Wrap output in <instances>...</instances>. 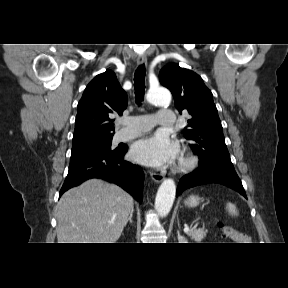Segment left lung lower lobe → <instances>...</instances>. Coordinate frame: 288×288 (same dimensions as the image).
Returning <instances> with one entry per match:
<instances>
[{"mask_svg":"<svg viewBox=\"0 0 288 288\" xmlns=\"http://www.w3.org/2000/svg\"><path fill=\"white\" fill-rule=\"evenodd\" d=\"M208 183L222 184L236 190L247 198L241 180L235 170H230L218 165H199L194 172L183 176L179 181L176 196L188 188Z\"/></svg>","mask_w":288,"mask_h":288,"instance_id":"obj_1","label":"left lung lower lobe"}]
</instances>
